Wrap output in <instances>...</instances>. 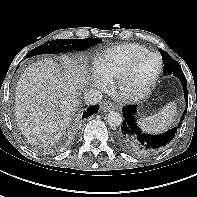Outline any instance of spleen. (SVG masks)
<instances>
[{
  "label": "spleen",
  "instance_id": "obj_1",
  "mask_svg": "<svg viewBox=\"0 0 197 197\" xmlns=\"http://www.w3.org/2000/svg\"><path fill=\"white\" fill-rule=\"evenodd\" d=\"M176 114V103L170 102L165 105L158 113L141 118L139 125L146 132L149 133H162L167 130L174 120Z\"/></svg>",
  "mask_w": 197,
  "mask_h": 197
}]
</instances>
